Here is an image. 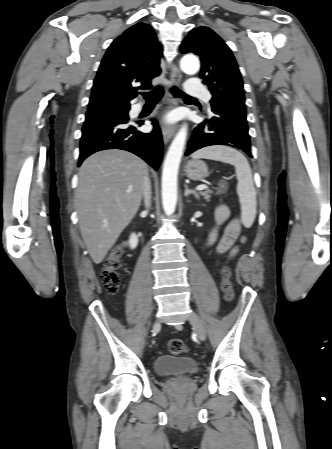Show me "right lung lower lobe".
I'll list each match as a JSON object with an SVG mask.
<instances>
[{
    "label": "right lung lower lobe",
    "instance_id": "1",
    "mask_svg": "<svg viewBox=\"0 0 332 449\" xmlns=\"http://www.w3.org/2000/svg\"><path fill=\"white\" fill-rule=\"evenodd\" d=\"M129 117H110L100 121L85 123L80 139L78 165L89 155L106 149H121L132 152L154 169H158L163 153V141L157 121L153 120V130L142 133L134 125L128 124ZM142 125L143 122H138Z\"/></svg>",
    "mask_w": 332,
    "mask_h": 449
}]
</instances>
